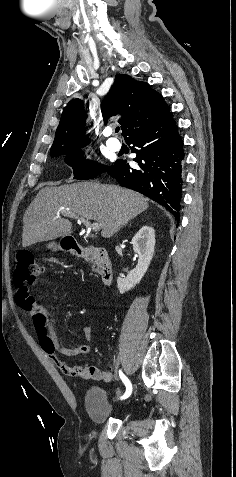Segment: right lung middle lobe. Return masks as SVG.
I'll return each mask as SVG.
<instances>
[{
	"label": "right lung middle lobe",
	"mask_w": 236,
	"mask_h": 477,
	"mask_svg": "<svg viewBox=\"0 0 236 477\" xmlns=\"http://www.w3.org/2000/svg\"><path fill=\"white\" fill-rule=\"evenodd\" d=\"M66 155L65 162L72 167L74 171V179L78 180H85L95 177L102 169L106 170L109 169L111 166L100 167L97 162H93L91 160H86L83 157V152L80 149H76L73 151H64V150H56L50 152L51 157H58L59 155Z\"/></svg>",
	"instance_id": "right-lung-middle-lobe-1"
}]
</instances>
